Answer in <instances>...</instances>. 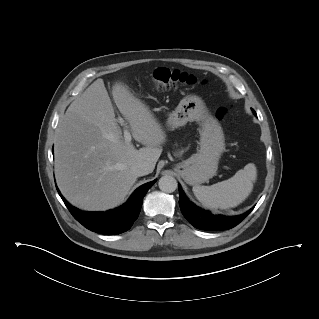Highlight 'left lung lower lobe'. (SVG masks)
<instances>
[{
  "instance_id": "obj_1",
  "label": "left lung lower lobe",
  "mask_w": 319,
  "mask_h": 319,
  "mask_svg": "<svg viewBox=\"0 0 319 319\" xmlns=\"http://www.w3.org/2000/svg\"><path fill=\"white\" fill-rule=\"evenodd\" d=\"M179 187V205L184 217L196 228L202 230H226L235 227L253 210L236 216L213 215L191 203Z\"/></svg>"
}]
</instances>
